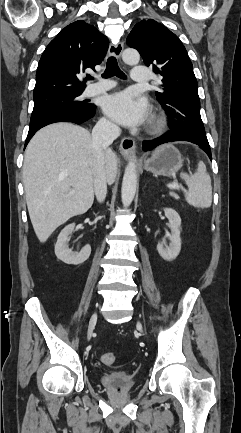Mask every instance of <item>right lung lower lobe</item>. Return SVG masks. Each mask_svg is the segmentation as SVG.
Returning <instances> with one entry per match:
<instances>
[{
  "label": "right lung lower lobe",
  "instance_id": "98d812e1",
  "mask_svg": "<svg viewBox=\"0 0 241 433\" xmlns=\"http://www.w3.org/2000/svg\"><path fill=\"white\" fill-rule=\"evenodd\" d=\"M95 114V106L89 104V107L82 111H61L48 115L39 121L33 123L29 127V132L26 138L25 147L33 137V135L42 127L55 122H72L76 124H81Z\"/></svg>",
  "mask_w": 241,
  "mask_h": 433
}]
</instances>
